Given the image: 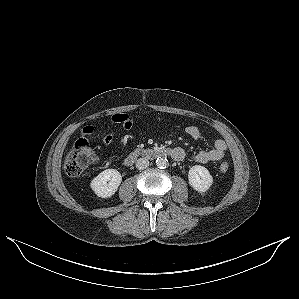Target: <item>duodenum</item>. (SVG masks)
Masks as SVG:
<instances>
[{"label":"duodenum","instance_id":"1","mask_svg":"<svg viewBox=\"0 0 299 299\" xmlns=\"http://www.w3.org/2000/svg\"><path fill=\"white\" fill-rule=\"evenodd\" d=\"M176 155L175 149L169 147H161V148H145L139 149L132 153L124 159V165L127 167H131L135 161L139 157H147V158H156V157H172L174 158Z\"/></svg>","mask_w":299,"mask_h":299}]
</instances>
